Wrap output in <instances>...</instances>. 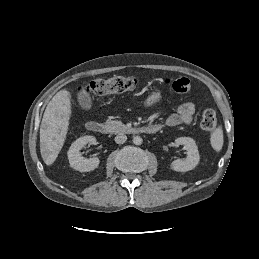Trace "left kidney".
<instances>
[{"instance_id": "left-kidney-1", "label": "left kidney", "mask_w": 259, "mask_h": 259, "mask_svg": "<svg viewBox=\"0 0 259 259\" xmlns=\"http://www.w3.org/2000/svg\"><path fill=\"white\" fill-rule=\"evenodd\" d=\"M177 145H183L187 150V156L184 160L177 159L171 163V168L177 172H187L194 169L200 160L197 145L190 137H179L175 140Z\"/></svg>"}]
</instances>
